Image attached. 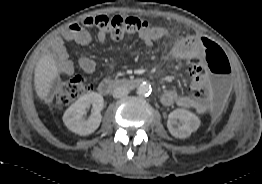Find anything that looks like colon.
Listing matches in <instances>:
<instances>
[{"label":"colon","mask_w":262,"mask_h":184,"mask_svg":"<svg viewBox=\"0 0 262 184\" xmlns=\"http://www.w3.org/2000/svg\"><path fill=\"white\" fill-rule=\"evenodd\" d=\"M86 26H94L104 31L114 40H124L140 34L147 29V22L137 17L113 15L89 17L83 21ZM205 48L203 55V66L208 77L200 80L193 79L192 73L191 90L197 96L209 102L214 116H220L227 105L230 93L231 66L228 57L222 48L216 43L204 39ZM90 90V85L83 76H75L63 82L56 94L57 104L66 105L78 99Z\"/></svg>","instance_id":"5ec220e1"}]
</instances>
